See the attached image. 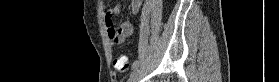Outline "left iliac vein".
I'll return each mask as SVG.
<instances>
[{"mask_svg": "<svg viewBox=\"0 0 279 82\" xmlns=\"http://www.w3.org/2000/svg\"><path fill=\"white\" fill-rule=\"evenodd\" d=\"M139 78H140V71L139 69L136 68L131 72L128 82H137Z\"/></svg>", "mask_w": 279, "mask_h": 82, "instance_id": "obj_1", "label": "left iliac vein"}]
</instances>
